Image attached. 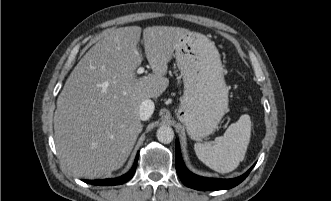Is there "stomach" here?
I'll list each match as a JSON object with an SVG mask.
<instances>
[{
  "label": "stomach",
  "mask_w": 331,
  "mask_h": 201,
  "mask_svg": "<svg viewBox=\"0 0 331 201\" xmlns=\"http://www.w3.org/2000/svg\"><path fill=\"white\" fill-rule=\"evenodd\" d=\"M184 83L177 113L191 139L210 135L228 110V88L220 55L208 37L189 32L174 50Z\"/></svg>",
  "instance_id": "1"
}]
</instances>
